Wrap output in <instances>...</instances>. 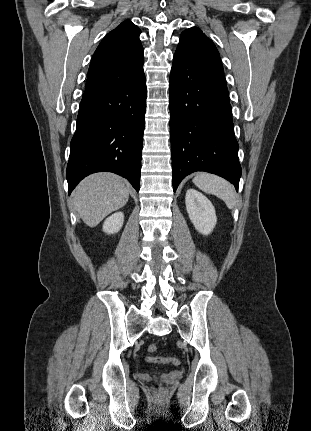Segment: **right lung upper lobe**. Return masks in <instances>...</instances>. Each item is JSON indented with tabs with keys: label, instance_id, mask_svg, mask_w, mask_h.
<instances>
[{
	"label": "right lung upper lobe",
	"instance_id": "right-lung-upper-lobe-1",
	"mask_svg": "<svg viewBox=\"0 0 311 431\" xmlns=\"http://www.w3.org/2000/svg\"><path fill=\"white\" fill-rule=\"evenodd\" d=\"M140 33L126 20L101 41L92 57L85 89L127 79L143 66Z\"/></svg>",
	"mask_w": 311,
	"mask_h": 431
}]
</instances>
